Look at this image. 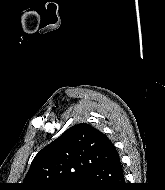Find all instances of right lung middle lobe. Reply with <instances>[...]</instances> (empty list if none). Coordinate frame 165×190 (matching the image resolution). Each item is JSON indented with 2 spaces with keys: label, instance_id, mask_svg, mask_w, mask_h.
<instances>
[{
  "label": "right lung middle lobe",
  "instance_id": "1",
  "mask_svg": "<svg viewBox=\"0 0 165 190\" xmlns=\"http://www.w3.org/2000/svg\"><path fill=\"white\" fill-rule=\"evenodd\" d=\"M81 185H82V181L79 180L73 184L54 187V188H51L50 190H80Z\"/></svg>",
  "mask_w": 165,
  "mask_h": 190
}]
</instances>
